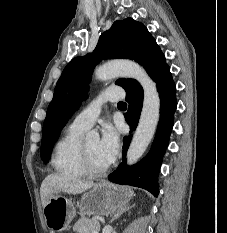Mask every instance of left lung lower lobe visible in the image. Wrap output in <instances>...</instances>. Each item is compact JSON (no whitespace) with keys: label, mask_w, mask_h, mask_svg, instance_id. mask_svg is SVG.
Listing matches in <instances>:
<instances>
[{"label":"left lung lower lobe","mask_w":227,"mask_h":233,"mask_svg":"<svg viewBox=\"0 0 227 233\" xmlns=\"http://www.w3.org/2000/svg\"><path fill=\"white\" fill-rule=\"evenodd\" d=\"M157 90L160 94V113L155 139L145 158L131 167L125 165L126 151L131 142L132 135L123 138V161L120 166L109 175L111 182L132 185L148 190L154 196L158 195V173L162 157L168 146L170 133L173 127L174 112L177 107L176 86L173 82L169 66L164 68L156 77ZM126 101L129 103L125 119L134 131L138 125L139 116L143 105V90L127 92Z\"/></svg>","instance_id":"1"}]
</instances>
